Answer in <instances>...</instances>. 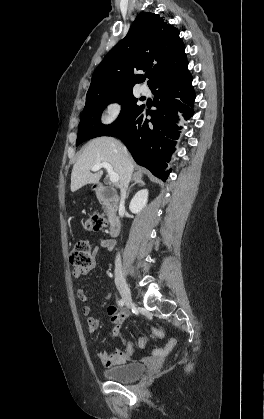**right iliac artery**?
Masks as SVG:
<instances>
[{
    "instance_id": "right-iliac-artery-1",
    "label": "right iliac artery",
    "mask_w": 264,
    "mask_h": 419,
    "mask_svg": "<svg viewBox=\"0 0 264 419\" xmlns=\"http://www.w3.org/2000/svg\"><path fill=\"white\" fill-rule=\"evenodd\" d=\"M118 305L122 307L124 305V301L122 299H119L118 300Z\"/></svg>"
}]
</instances>
